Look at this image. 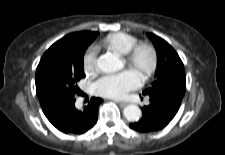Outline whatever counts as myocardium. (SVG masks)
Returning <instances> with one entry per match:
<instances>
[{
  "label": "myocardium",
  "mask_w": 225,
  "mask_h": 155,
  "mask_svg": "<svg viewBox=\"0 0 225 155\" xmlns=\"http://www.w3.org/2000/svg\"><path fill=\"white\" fill-rule=\"evenodd\" d=\"M126 63L143 79L149 78L157 67V51L149 42H137L124 54Z\"/></svg>",
  "instance_id": "1"
}]
</instances>
